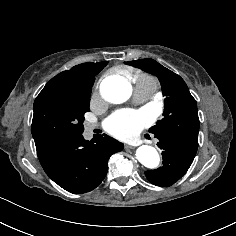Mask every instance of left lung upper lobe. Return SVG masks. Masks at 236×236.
Returning <instances> with one entry per match:
<instances>
[{
  "mask_svg": "<svg viewBox=\"0 0 236 236\" xmlns=\"http://www.w3.org/2000/svg\"><path fill=\"white\" fill-rule=\"evenodd\" d=\"M126 64L156 75L163 95L166 96L164 118L158 120L149 132L155 134L156 138L164 134H174L198 140L197 103L184 80L151 58L129 61Z\"/></svg>",
  "mask_w": 236,
  "mask_h": 236,
  "instance_id": "obj_1",
  "label": "left lung upper lobe"
}]
</instances>
